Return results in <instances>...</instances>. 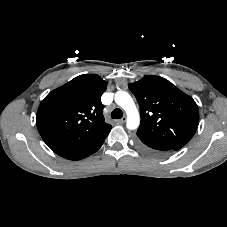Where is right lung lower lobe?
Returning a JSON list of instances; mask_svg holds the SVG:
<instances>
[{"label":"right lung lower lobe","mask_w":227,"mask_h":227,"mask_svg":"<svg viewBox=\"0 0 227 227\" xmlns=\"http://www.w3.org/2000/svg\"><path fill=\"white\" fill-rule=\"evenodd\" d=\"M95 153V152H94ZM93 154V153H92ZM91 155V154H90ZM89 156V155H88ZM88 156H85V157H82V158H80V159H83V158H86V157H88ZM80 159H77V160H80Z\"/></svg>","instance_id":"98d812e1"}]
</instances>
